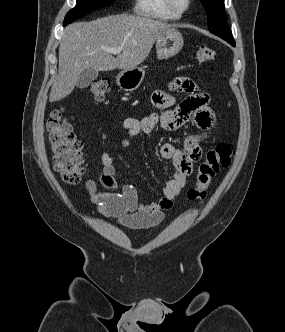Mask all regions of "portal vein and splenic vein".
Segmentation results:
<instances>
[{"mask_svg":"<svg viewBox=\"0 0 285 332\" xmlns=\"http://www.w3.org/2000/svg\"><path fill=\"white\" fill-rule=\"evenodd\" d=\"M104 50L109 52V53H112L114 55H117V54L121 53L122 48L121 47H118V48H104Z\"/></svg>","mask_w":285,"mask_h":332,"instance_id":"18ae733b","label":"portal vein and splenic vein"}]
</instances>
